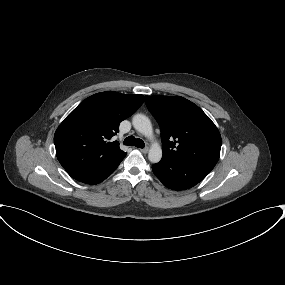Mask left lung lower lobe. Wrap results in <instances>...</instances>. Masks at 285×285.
Segmentation results:
<instances>
[{"label":"left lung lower lobe","instance_id":"0a47b994","mask_svg":"<svg viewBox=\"0 0 285 285\" xmlns=\"http://www.w3.org/2000/svg\"><path fill=\"white\" fill-rule=\"evenodd\" d=\"M152 170L166 187L177 191L195 186L210 172L191 164L167 159L154 164Z\"/></svg>","mask_w":285,"mask_h":285}]
</instances>
